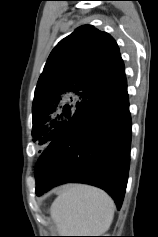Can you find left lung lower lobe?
<instances>
[{
	"instance_id": "1",
	"label": "left lung lower lobe",
	"mask_w": 158,
	"mask_h": 237,
	"mask_svg": "<svg viewBox=\"0 0 158 237\" xmlns=\"http://www.w3.org/2000/svg\"><path fill=\"white\" fill-rule=\"evenodd\" d=\"M131 117L126 78L87 101L65 123L36 165V194L86 183L108 192L120 209L128 180Z\"/></svg>"
}]
</instances>
